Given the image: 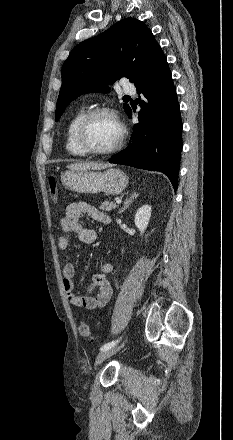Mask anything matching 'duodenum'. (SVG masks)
Here are the masks:
<instances>
[{
    "label": "duodenum",
    "mask_w": 233,
    "mask_h": 440,
    "mask_svg": "<svg viewBox=\"0 0 233 440\" xmlns=\"http://www.w3.org/2000/svg\"><path fill=\"white\" fill-rule=\"evenodd\" d=\"M105 223H109V221L107 220V221H105Z\"/></svg>",
    "instance_id": "1"
}]
</instances>
